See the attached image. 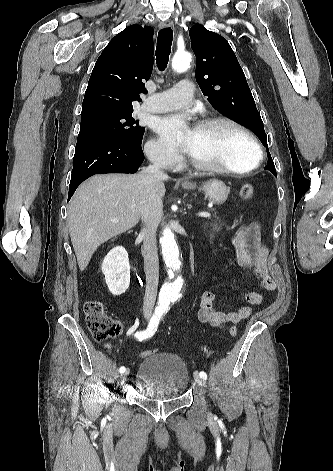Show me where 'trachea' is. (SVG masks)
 Returning a JSON list of instances; mask_svg holds the SVG:
<instances>
[{"label": "trachea", "instance_id": "3493384b", "mask_svg": "<svg viewBox=\"0 0 333 471\" xmlns=\"http://www.w3.org/2000/svg\"><path fill=\"white\" fill-rule=\"evenodd\" d=\"M173 32L170 27L161 29L158 33L156 46V64L160 71L167 67L169 55L171 52Z\"/></svg>", "mask_w": 333, "mask_h": 471}]
</instances>
